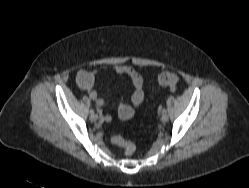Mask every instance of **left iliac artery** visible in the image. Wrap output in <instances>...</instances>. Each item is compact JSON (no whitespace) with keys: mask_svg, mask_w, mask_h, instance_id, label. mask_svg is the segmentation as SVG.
Returning <instances> with one entry per match:
<instances>
[{"mask_svg":"<svg viewBox=\"0 0 249 188\" xmlns=\"http://www.w3.org/2000/svg\"><path fill=\"white\" fill-rule=\"evenodd\" d=\"M162 113H163V114H166V113H167V110L164 108V109L162 110Z\"/></svg>","mask_w":249,"mask_h":188,"instance_id":"1","label":"left iliac artery"}]
</instances>
